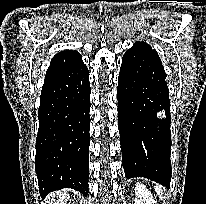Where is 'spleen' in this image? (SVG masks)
Listing matches in <instances>:
<instances>
[{
    "mask_svg": "<svg viewBox=\"0 0 206 204\" xmlns=\"http://www.w3.org/2000/svg\"><path fill=\"white\" fill-rule=\"evenodd\" d=\"M155 190H156V193L160 196V198H161V196H162V194H163V188L161 187V186H159V185H156L155 186Z\"/></svg>",
    "mask_w": 206,
    "mask_h": 204,
    "instance_id": "1",
    "label": "spleen"
}]
</instances>
